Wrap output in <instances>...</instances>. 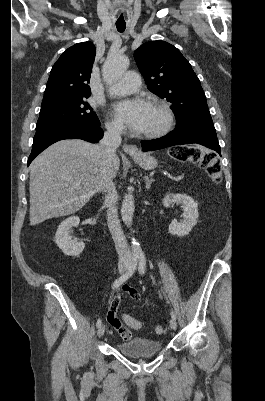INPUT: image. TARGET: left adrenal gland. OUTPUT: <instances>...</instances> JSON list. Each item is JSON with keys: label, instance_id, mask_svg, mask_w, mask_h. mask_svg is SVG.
I'll use <instances>...</instances> for the list:
<instances>
[{"label": "left adrenal gland", "instance_id": "left-adrenal-gland-1", "mask_svg": "<svg viewBox=\"0 0 265 401\" xmlns=\"http://www.w3.org/2000/svg\"><path fill=\"white\" fill-rule=\"evenodd\" d=\"M145 180V188H150L151 182H153L154 178H150V176H143Z\"/></svg>", "mask_w": 265, "mask_h": 401}]
</instances>
